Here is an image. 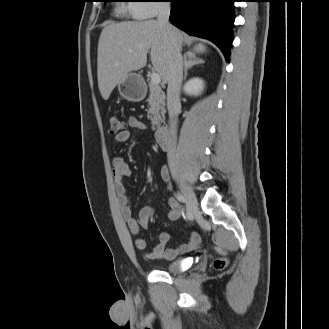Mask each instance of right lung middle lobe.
<instances>
[{
  "label": "right lung middle lobe",
  "instance_id": "obj_1",
  "mask_svg": "<svg viewBox=\"0 0 329 329\" xmlns=\"http://www.w3.org/2000/svg\"><path fill=\"white\" fill-rule=\"evenodd\" d=\"M101 1L107 2V1H111V0H101Z\"/></svg>",
  "mask_w": 329,
  "mask_h": 329
}]
</instances>
